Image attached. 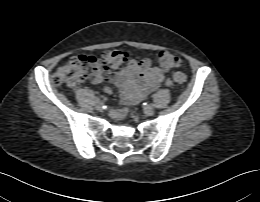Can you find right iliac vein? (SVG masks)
<instances>
[{"instance_id":"obj_1","label":"right iliac vein","mask_w":260,"mask_h":202,"mask_svg":"<svg viewBox=\"0 0 260 202\" xmlns=\"http://www.w3.org/2000/svg\"><path fill=\"white\" fill-rule=\"evenodd\" d=\"M103 107V103L101 101L96 102V109L101 110Z\"/></svg>"}]
</instances>
